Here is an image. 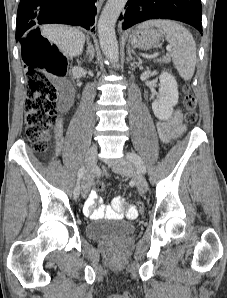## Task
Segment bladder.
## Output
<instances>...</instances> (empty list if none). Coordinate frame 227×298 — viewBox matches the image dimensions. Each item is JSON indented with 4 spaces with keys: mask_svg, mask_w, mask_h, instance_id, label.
<instances>
[{
    "mask_svg": "<svg viewBox=\"0 0 227 298\" xmlns=\"http://www.w3.org/2000/svg\"><path fill=\"white\" fill-rule=\"evenodd\" d=\"M132 222L124 220H99L86 225L85 234L89 239L108 240L131 235L135 231Z\"/></svg>",
    "mask_w": 227,
    "mask_h": 298,
    "instance_id": "31cf9c89",
    "label": "bladder"
}]
</instances>
